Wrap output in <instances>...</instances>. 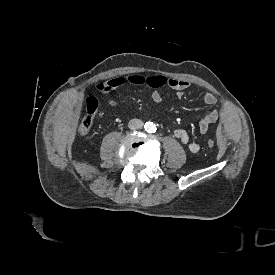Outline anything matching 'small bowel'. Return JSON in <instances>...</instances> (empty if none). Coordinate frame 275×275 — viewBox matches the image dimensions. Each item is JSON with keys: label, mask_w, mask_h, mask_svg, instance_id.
<instances>
[{"label": "small bowel", "mask_w": 275, "mask_h": 275, "mask_svg": "<svg viewBox=\"0 0 275 275\" xmlns=\"http://www.w3.org/2000/svg\"><path fill=\"white\" fill-rule=\"evenodd\" d=\"M126 84L135 86L147 84L155 89L163 86H169L176 91L178 97H181L184 94L185 90L189 87V83L185 80L167 78L166 76L160 74H156L148 78H145L140 74H131L128 76L117 77L103 82L98 86V88L103 93H109ZM151 99L154 103L159 104L162 101V96L157 90H154L151 94ZM202 99L203 102L208 106H214L217 102L215 95L211 92L204 93ZM218 117V110H211L199 121V132L201 134L208 133L211 130L212 126L217 122ZM174 136L178 140H180L181 143L186 145L190 152L196 153L199 151V145L196 142L190 140V136L186 130L176 129L174 131Z\"/></svg>", "instance_id": "c3829d8e"}]
</instances>
